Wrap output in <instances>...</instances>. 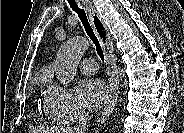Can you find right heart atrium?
Returning <instances> with one entry per match:
<instances>
[{"mask_svg":"<svg viewBox=\"0 0 184 133\" xmlns=\"http://www.w3.org/2000/svg\"><path fill=\"white\" fill-rule=\"evenodd\" d=\"M45 107L58 122H70L82 112L72 92L54 83H50L45 89Z\"/></svg>","mask_w":184,"mask_h":133,"instance_id":"d8ad5b80","label":"right heart atrium"}]
</instances>
